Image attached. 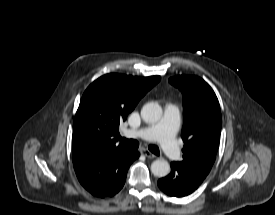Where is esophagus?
<instances>
[{"label":"esophagus","mask_w":275,"mask_h":215,"mask_svg":"<svg viewBox=\"0 0 275 215\" xmlns=\"http://www.w3.org/2000/svg\"><path fill=\"white\" fill-rule=\"evenodd\" d=\"M141 154H143L147 158H152V159L156 158V156L153 153H151L150 151H148L146 149L141 150Z\"/></svg>","instance_id":"obj_1"}]
</instances>
